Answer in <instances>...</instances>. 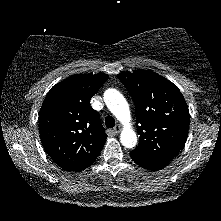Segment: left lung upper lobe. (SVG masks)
<instances>
[{
  "instance_id": "left-lung-upper-lobe-1",
  "label": "left lung upper lobe",
  "mask_w": 221,
  "mask_h": 221,
  "mask_svg": "<svg viewBox=\"0 0 221 221\" xmlns=\"http://www.w3.org/2000/svg\"><path fill=\"white\" fill-rule=\"evenodd\" d=\"M133 98L139 145L130 154L169 163L185 145L190 122L184 97L171 81L150 70L117 75Z\"/></svg>"
}]
</instances>
